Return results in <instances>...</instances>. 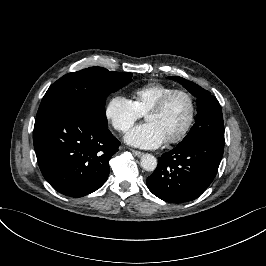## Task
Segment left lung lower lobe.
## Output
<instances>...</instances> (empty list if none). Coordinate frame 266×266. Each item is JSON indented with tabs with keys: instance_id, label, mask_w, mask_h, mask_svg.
<instances>
[{
	"instance_id": "left-lung-lower-lobe-1",
	"label": "left lung lower lobe",
	"mask_w": 266,
	"mask_h": 266,
	"mask_svg": "<svg viewBox=\"0 0 266 266\" xmlns=\"http://www.w3.org/2000/svg\"><path fill=\"white\" fill-rule=\"evenodd\" d=\"M224 151V139L205 137L176 146L158 158V166L147 178L149 190L170 203L199 197L216 176Z\"/></svg>"
}]
</instances>
